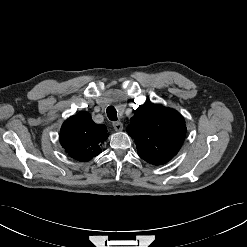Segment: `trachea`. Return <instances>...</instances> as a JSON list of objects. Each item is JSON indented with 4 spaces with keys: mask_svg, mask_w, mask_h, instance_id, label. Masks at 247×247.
<instances>
[{
    "mask_svg": "<svg viewBox=\"0 0 247 247\" xmlns=\"http://www.w3.org/2000/svg\"><path fill=\"white\" fill-rule=\"evenodd\" d=\"M107 116L111 121L117 120V112L116 109L113 106H109L106 110Z\"/></svg>",
    "mask_w": 247,
    "mask_h": 247,
    "instance_id": "trachea-1",
    "label": "trachea"
}]
</instances>
